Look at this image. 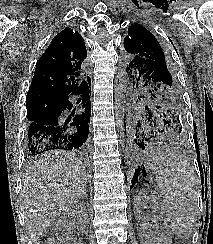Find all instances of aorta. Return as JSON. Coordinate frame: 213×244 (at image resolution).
Returning <instances> with one entry per match:
<instances>
[{"label":"aorta","mask_w":213,"mask_h":244,"mask_svg":"<svg viewBox=\"0 0 213 244\" xmlns=\"http://www.w3.org/2000/svg\"><path fill=\"white\" fill-rule=\"evenodd\" d=\"M124 88L123 83L119 82L117 84L116 90V101L117 106L115 110V123L117 132L120 134L121 137L125 135V106H124Z\"/></svg>","instance_id":"1"}]
</instances>
